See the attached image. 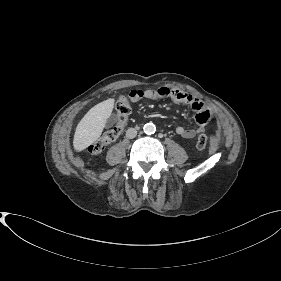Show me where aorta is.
I'll return each mask as SVG.
<instances>
[{
  "label": "aorta",
  "mask_w": 281,
  "mask_h": 281,
  "mask_svg": "<svg viewBox=\"0 0 281 281\" xmlns=\"http://www.w3.org/2000/svg\"><path fill=\"white\" fill-rule=\"evenodd\" d=\"M143 130L146 134L151 135L156 131V127L153 123H146Z\"/></svg>",
  "instance_id": "762f6f07"
}]
</instances>
